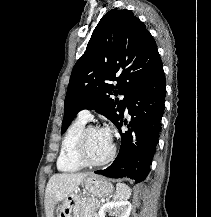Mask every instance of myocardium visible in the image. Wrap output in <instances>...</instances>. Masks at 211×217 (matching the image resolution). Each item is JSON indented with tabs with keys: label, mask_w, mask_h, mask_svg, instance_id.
Returning a JSON list of instances; mask_svg holds the SVG:
<instances>
[{
	"label": "myocardium",
	"mask_w": 211,
	"mask_h": 217,
	"mask_svg": "<svg viewBox=\"0 0 211 217\" xmlns=\"http://www.w3.org/2000/svg\"><path fill=\"white\" fill-rule=\"evenodd\" d=\"M91 130H100L96 126H87L85 127L82 132L79 135L77 144H76V158L79 161L80 164H82L85 167H98L108 164L113 160L116 154V146L114 143H112V148L108 156H106L102 160H92L89 158L87 153V137Z\"/></svg>",
	"instance_id": "f54148a6"
}]
</instances>
